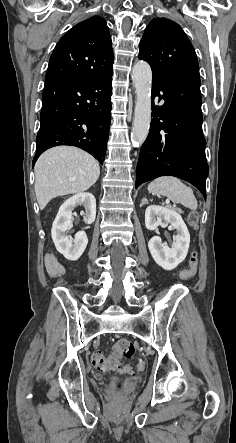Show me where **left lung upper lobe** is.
Instances as JSON below:
<instances>
[{
	"label": "left lung upper lobe",
	"instance_id": "obj_1",
	"mask_svg": "<svg viewBox=\"0 0 236 443\" xmlns=\"http://www.w3.org/2000/svg\"><path fill=\"white\" fill-rule=\"evenodd\" d=\"M138 57L150 64L153 76L169 73L199 76L191 42L177 23L166 18H155L146 27Z\"/></svg>",
	"mask_w": 236,
	"mask_h": 443
}]
</instances>
